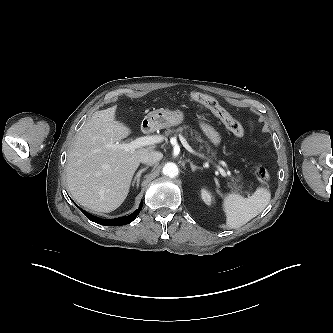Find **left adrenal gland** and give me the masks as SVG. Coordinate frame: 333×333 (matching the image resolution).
Returning <instances> with one entry per match:
<instances>
[{
  "label": "left adrenal gland",
  "instance_id": "1",
  "mask_svg": "<svg viewBox=\"0 0 333 333\" xmlns=\"http://www.w3.org/2000/svg\"><path fill=\"white\" fill-rule=\"evenodd\" d=\"M188 162H189V164H190L191 169H192L193 172H195L196 170L201 169L200 167L194 165L193 162H191L190 160H188Z\"/></svg>",
  "mask_w": 333,
  "mask_h": 333
}]
</instances>
